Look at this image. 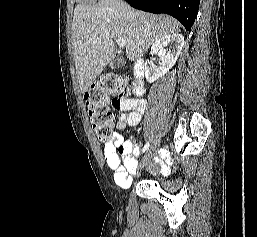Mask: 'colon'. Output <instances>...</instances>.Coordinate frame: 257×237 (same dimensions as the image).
Instances as JSON below:
<instances>
[{"mask_svg": "<svg viewBox=\"0 0 257 237\" xmlns=\"http://www.w3.org/2000/svg\"><path fill=\"white\" fill-rule=\"evenodd\" d=\"M130 93L126 79L117 75L103 76L98 79L85 94V102L89 117L100 141L106 142L113 135V113L108 102L113 97V103L125 99Z\"/></svg>", "mask_w": 257, "mask_h": 237, "instance_id": "1", "label": "colon"}]
</instances>
